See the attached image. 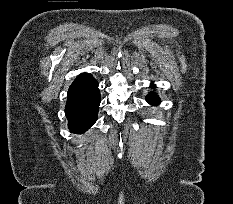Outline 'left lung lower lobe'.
<instances>
[{"instance_id": "1", "label": "left lung lower lobe", "mask_w": 233, "mask_h": 204, "mask_svg": "<svg viewBox=\"0 0 233 204\" xmlns=\"http://www.w3.org/2000/svg\"><path fill=\"white\" fill-rule=\"evenodd\" d=\"M147 101H148V103H150L152 105L160 103L159 98L154 94H150L149 96H147Z\"/></svg>"}]
</instances>
